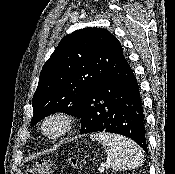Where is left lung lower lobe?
Masks as SVG:
<instances>
[{
  "label": "left lung lower lobe",
  "mask_w": 175,
  "mask_h": 174,
  "mask_svg": "<svg viewBox=\"0 0 175 174\" xmlns=\"http://www.w3.org/2000/svg\"><path fill=\"white\" fill-rule=\"evenodd\" d=\"M81 134L105 131L134 140L148 154L144 111L137 79L124 55L83 98Z\"/></svg>",
  "instance_id": "obj_1"
}]
</instances>
